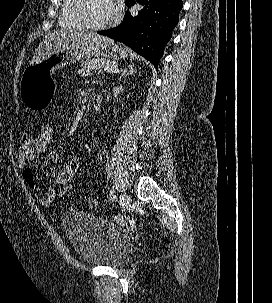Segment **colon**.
Returning a JSON list of instances; mask_svg holds the SVG:
<instances>
[{
	"mask_svg": "<svg viewBox=\"0 0 272 303\" xmlns=\"http://www.w3.org/2000/svg\"><path fill=\"white\" fill-rule=\"evenodd\" d=\"M55 133V125L51 121L47 120L44 121L39 127L36 138L41 144L53 147L55 141ZM80 166L81 158L79 156L74 155L69 158L65 169L59 174L52 185L56 196H63L66 194L68 185L75 174L79 172ZM25 177L31 185L34 184L30 170H25ZM87 204L90 209H95L98 205V202L95 198L91 197L88 199Z\"/></svg>",
	"mask_w": 272,
	"mask_h": 303,
	"instance_id": "5ec220e1",
	"label": "colon"
}]
</instances>
